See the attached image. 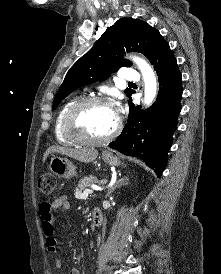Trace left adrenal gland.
I'll list each match as a JSON object with an SVG mask.
<instances>
[{
	"label": "left adrenal gland",
	"mask_w": 221,
	"mask_h": 274,
	"mask_svg": "<svg viewBox=\"0 0 221 274\" xmlns=\"http://www.w3.org/2000/svg\"><path fill=\"white\" fill-rule=\"evenodd\" d=\"M129 182L128 177H121L119 180L115 182V184L108 190L107 196H109L117 187H121L123 185H127Z\"/></svg>",
	"instance_id": "1"
}]
</instances>
